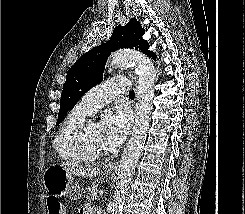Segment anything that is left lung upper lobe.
I'll list each match as a JSON object with an SVG mask.
<instances>
[{
  "instance_id": "obj_1",
  "label": "left lung upper lobe",
  "mask_w": 245,
  "mask_h": 214,
  "mask_svg": "<svg viewBox=\"0 0 245 214\" xmlns=\"http://www.w3.org/2000/svg\"><path fill=\"white\" fill-rule=\"evenodd\" d=\"M144 32L140 22L132 18L125 26H117L108 42L89 50L75 62L63 85L56 125L62 122L68 110L86 91L102 82L105 64L111 52L120 48L136 49L156 60V54L149 51V44L142 39Z\"/></svg>"
}]
</instances>
